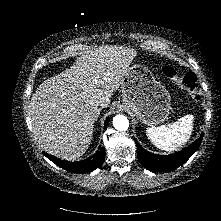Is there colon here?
Returning a JSON list of instances; mask_svg holds the SVG:
<instances>
[{
    "label": "colon",
    "mask_w": 221,
    "mask_h": 221,
    "mask_svg": "<svg viewBox=\"0 0 221 221\" xmlns=\"http://www.w3.org/2000/svg\"><path fill=\"white\" fill-rule=\"evenodd\" d=\"M162 72L166 78L178 84L184 89L192 99H196L198 92V83L196 76L191 73L179 74L172 66H165Z\"/></svg>",
    "instance_id": "5ec220e1"
}]
</instances>
